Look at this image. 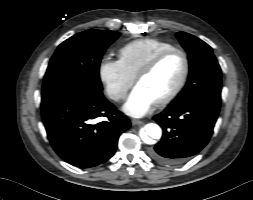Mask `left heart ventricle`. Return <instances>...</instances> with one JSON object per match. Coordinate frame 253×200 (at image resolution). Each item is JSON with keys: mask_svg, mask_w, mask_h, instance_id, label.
<instances>
[{"mask_svg": "<svg viewBox=\"0 0 253 200\" xmlns=\"http://www.w3.org/2000/svg\"><path fill=\"white\" fill-rule=\"evenodd\" d=\"M184 63L179 54L166 58L151 74L137 83L155 100L159 101L170 93L179 82L183 73Z\"/></svg>", "mask_w": 253, "mask_h": 200, "instance_id": "b2bd125f", "label": "left heart ventricle"}]
</instances>
